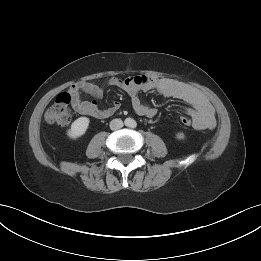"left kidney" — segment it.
<instances>
[{
  "label": "left kidney",
  "instance_id": "5707ae66",
  "mask_svg": "<svg viewBox=\"0 0 261 261\" xmlns=\"http://www.w3.org/2000/svg\"><path fill=\"white\" fill-rule=\"evenodd\" d=\"M176 137H177V139H184L185 135L180 132V133H177Z\"/></svg>",
  "mask_w": 261,
  "mask_h": 261
}]
</instances>
